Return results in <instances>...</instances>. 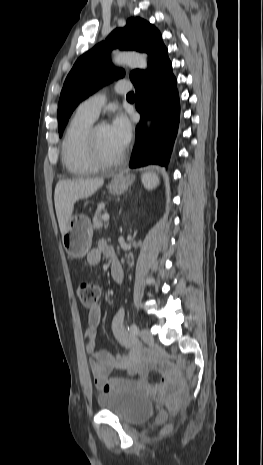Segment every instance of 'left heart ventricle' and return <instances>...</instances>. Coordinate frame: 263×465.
Returning a JSON list of instances; mask_svg holds the SVG:
<instances>
[{
  "instance_id": "left-heart-ventricle-1",
  "label": "left heart ventricle",
  "mask_w": 263,
  "mask_h": 465,
  "mask_svg": "<svg viewBox=\"0 0 263 465\" xmlns=\"http://www.w3.org/2000/svg\"><path fill=\"white\" fill-rule=\"evenodd\" d=\"M97 141L100 153L104 158L113 159L119 156L123 149L111 135L108 125H101L97 131Z\"/></svg>"
}]
</instances>
